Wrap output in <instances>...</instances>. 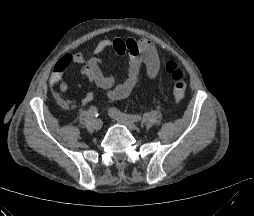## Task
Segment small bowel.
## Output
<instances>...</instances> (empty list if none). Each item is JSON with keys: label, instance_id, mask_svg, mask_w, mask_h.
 Returning a JSON list of instances; mask_svg holds the SVG:
<instances>
[{"label": "small bowel", "instance_id": "1", "mask_svg": "<svg viewBox=\"0 0 254 216\" xmlns=\"http://www.w3.org/2000/svg\"><path fill=\"white\" fill-rule=\"evenodd\" d=\"M112 50L118 56L129 58V67L126 77L118 81L115 75H107L102 71V59L100 55ZM86 62L82 73L87 77L89 83L103 90L109 100H121L127 98L138 85L142 68H145L146 77L153 80L160 70V55L154 44L146 39L136 40L134 38H105L100 40L94 47V56L86 58L82 53L66 54L55 66L51 76L50 84L57 90L53 91V97L62 105L70 106V102L63 97L67 92L68 84L62 80L65 70L72 64ZM64 63L66 66L62 65ZM94 98L92 90H88L82 104H88Z\"/></svg>", "mask_w": 254, "mask_h": 216}]
</instances>
